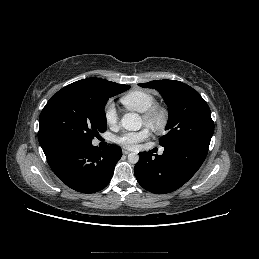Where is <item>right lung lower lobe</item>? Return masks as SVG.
<instances>
[{"label":"right lung lower lobe","mask_w":259,"mask_h":259,"mask_svg":"<svg viewBox=\"0 0 259 259\" xmlns=\"http://www.w3.org/2000/svg\"><path fill=\"white\" fill-rule=\"evenodd\" d=\"M53 172L68 187L82 193H95L110 182L116 163L122 156L119 147L110 144L103 150L91 141L58 140L43 148Z\"/></svg>","instance_id":"obj_1"}]
</instances>
